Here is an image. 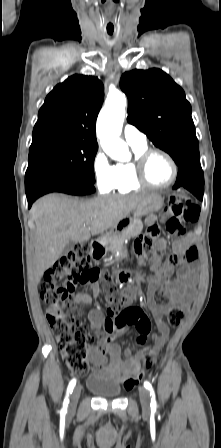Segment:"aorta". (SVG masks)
<instances>
[{"label":"aorta","mask_w":221,"mask_h":448,"mask_svg":"<svg viewBox=\"0 0 221 448\" xmlns=\"http://www.w3.org/2000/svg\"><path fill=\"white\" fill-rule=\"evenodd\" d=\"M127 100L117 93L108 98L97 121V134L100 144L112 159L126 162L130 160L128 145L120 139L125 118Z\"/></svg>","instance_id":"1"}]
</instances>
